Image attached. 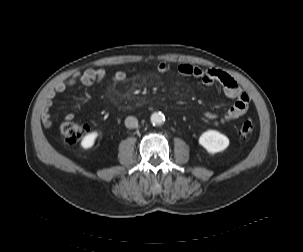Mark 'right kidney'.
<instances>
[{
    "mask_svg": "<svg viewBox=\"0 0 303 252\" xmlns=\"http://www.w3.org/2000/svg\"><path fill=\"white\" fill-rule=\"evenodd\" d=\"M98 137L97 132H91L86 135L81 141V147L84 149H90L94 146V143Z\"/></svg>",
    "mask_w": 303,
    "mask_h": 252,
    "instance_id": "1",
    "label": "right kidney"
}]
</instances>
